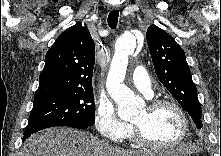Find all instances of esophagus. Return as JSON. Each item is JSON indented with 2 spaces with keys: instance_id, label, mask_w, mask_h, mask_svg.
Returning <instances> with one entry per match:
<instances>
[{
  "instance_id": "1",
  "label": "esophagus",
  "mask_w": 221,
  "mask_h": 156,
  "mask_svg": "<svg viewBox=\"0 0 221 156\" xmlns=\"http://www.w3.org/2000/svg\"><path fill=\"white\" fill-rule=\"evenodd\" d=\"M111 9H112V10H118L119 7H118V6H112Z\"/></svg>"
}]
</instances>
